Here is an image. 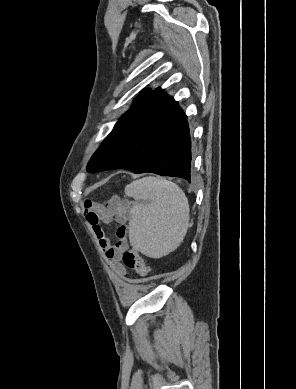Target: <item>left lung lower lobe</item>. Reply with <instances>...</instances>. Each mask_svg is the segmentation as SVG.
<instances>
[{
  "label": "left lung lower lobe",
  "instance_id": "1",
  "mask_svg": "<svg viewBox=\"0 0 296 389\" xmlns=\"http://www.w3.org/2000/svg\"><path fill=\"white\" fill-rule=\"evenodd\" d=\"M192 149L186 114L158 88L120 118L94 155L97 172L127 169L191 182Z\"/></svg>",
  "mask_w": 296,
  "mask_h": 389
}]
</instances>
